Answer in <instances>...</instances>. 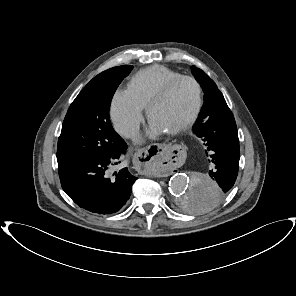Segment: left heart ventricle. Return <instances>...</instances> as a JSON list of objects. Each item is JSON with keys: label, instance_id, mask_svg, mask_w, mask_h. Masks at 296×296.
<instances>
[{"label": "left heart ventricle", "instance_id": "obj_1", "mask_svg": "<svg viewBox=\"0 0 296 296\" xmlns=\"http://www.w3.org/2000/svg\"><path fill=\"white\" fill-rule=\"evenodd\" d=\"M197 102L195 86L188 81L180 83L161 104L154 107L150 121L163 132H169L185 122Z\"/></svg>", "mask_w": 296, "mask_h": 296}]
</instances>
